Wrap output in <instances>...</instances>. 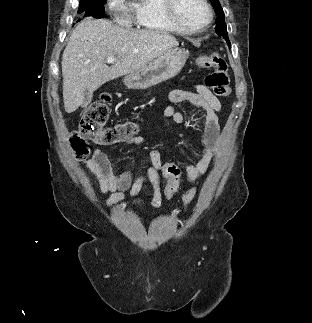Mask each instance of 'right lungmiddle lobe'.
<instances>
[{
    "instance_id": "1",
    "label": "right lung middle lobe",
    "mask_w": 312,
    "mask_h": 323,
    "mask_svg": "<svg viewBox=\"0 0 312 323\" xmlns=\"http://www.w3.org/2000/svg\"><path fill=\"white\" fill-rule=\"evenodd\" d=\"M105 1L106 0H80L78 13L82 16H92L100 19L105 14Z\"/></svg>"
}]
</instances>
